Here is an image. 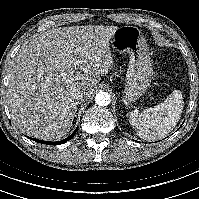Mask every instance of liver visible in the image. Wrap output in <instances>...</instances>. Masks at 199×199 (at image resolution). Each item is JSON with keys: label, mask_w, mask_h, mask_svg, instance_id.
Listing matches in <instances>:
<instances>
[{"label": "liver", "mask_w": 199, "mask_h": 199, "mask_svg": "<svg viewBox=\"0 0 199 199\" xmlns=\"http://www.w3.org/2000/svg\"><path fill=\"white\" fill-rule=\"evenodd\" d=\"M116 26H76L46 31L24 45L8 75L13 120L27 135L59 140L73 123L79 104L74 88L93 94L113 65Z\"/></svg>", "instance_id": "1"}]
</instances>
